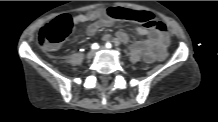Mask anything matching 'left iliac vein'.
<instances>
[{
	"instance_id": "obj_1",
	"label": "left iliac vein",
	"mask_w": 218,
	"mask_h": 122,
	"mask_svg": "<svg viewBox=\"0 0 218 122\" xmlns=\"http://www.w3.org/2000/svg\"><path fill=\"white\" fill-rule=\"evenodd\" d=\"M105 49H106V48H105L104 46H102V47L99 48L100 51H103V50H105Z\"/></svg>"
}]
</instances>
